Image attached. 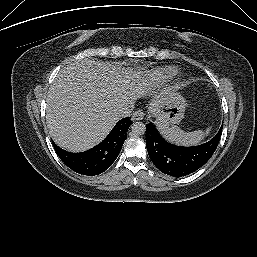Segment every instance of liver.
Here are the masks:
<instances>
[{"label":"liver","mask_w":257,"mask_h":257,"mask_svg":"<svg viewBox=\"0 0 257 257\" xmlns=\"http://www.w3.org/2000/svg\"><path fill=\"white\" fill-rule=\"evenodd\" d=\"M142 72L85 58L64 67L49 88L46 121L56 144L72 151L101 142L120 119L119 107L152 92ZM165 90L153 96L150 110Z\"/></svg>","instance_id":"obj_1"}]
</instances>
